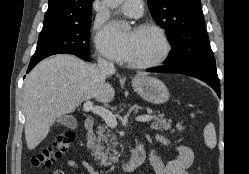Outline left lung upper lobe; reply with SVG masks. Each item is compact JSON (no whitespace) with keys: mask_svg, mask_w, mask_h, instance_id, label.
I'll list each match as a JSON object with an SVG mask.
<instances>
[{"mask_svg":"<svg viewBox=\"0 0 249 174\" xmlns=\"http://www.w3.org/2000/svg\"><path fill=\"white\" fill-rule=\"evenodd\" d=\"M155 22L167 31L172 50L166 65L215 63L200 0H148Z\"/></svg>","mask_w":249,"mask_h":174,"instance_id":"5c2ea615","label":"left lung upper lobe"}]
</instances>
